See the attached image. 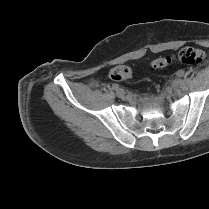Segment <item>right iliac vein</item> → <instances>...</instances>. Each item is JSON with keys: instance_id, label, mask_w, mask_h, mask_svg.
<instances>
[{"instance_id": "1", "label": "right iliac vein", "mask_w": 209, "mask_h": 209, "mask_svg": "<svg viewBox=\"0 0 209 209\" xmlns=\"http://www.w3.org/2000/svg\"><path fill=\"white\" fill-rule=\"evenodd\" d=\"M116 95L119 97V98H124L125 97V91L123 89H118L116 91Z\"/></svg>"}]
</instances>
